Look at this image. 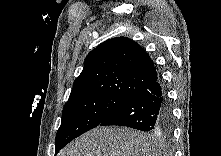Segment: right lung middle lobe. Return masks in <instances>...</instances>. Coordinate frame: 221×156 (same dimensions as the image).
<instances>
[{"mask_svg":"<svg viewBox=\"0 0 221 156\" xmlns=\"http://www.w3.org/2000/svg\"><path fill=\"white\" fill-rule=\"evenodd\" d=\"M128 97L96 94L68 101L55 138V154L74 138L97 127Z\"/></svg>","mask_w":221,"mask_h":156,"instance_id":"dd1d6c3e","label":"right lung middle lobe"}]
</instances>
